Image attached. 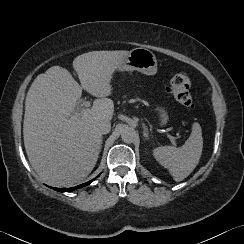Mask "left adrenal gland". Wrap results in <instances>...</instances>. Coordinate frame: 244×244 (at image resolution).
<instances>
[{"instance_id": "a2214340", "label": "left adrenal gland", "mask_w": 244, "mask_h": 244, "mask_svg": "<svg viewBox=\"0 0 244 244\" xmlns=\"http://www.w3.org/2000/svg\"><path fill=\"white\" fill-rule=\"evenodd\" d=\"M142 126H143V135H144V137L146 139H149V131H148L147 126L144 123L142 124Z\"/></svg>"}]
</instances>
